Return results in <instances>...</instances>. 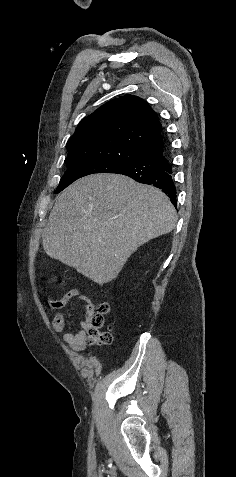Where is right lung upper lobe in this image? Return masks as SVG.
Listing matches in <instances>:
<instances>
[{
	"instance_id": "obj_1",
	"label": "right lung upper lobe",
	"mask_w": 236,
	"mask_h": 477,
	"mask_svg": "<svg viewBox=\"0 0 236 477\" xmlns=\"http://www.w3.org/2000/svg\"><path fill=\"white\" fill-rule=\"evenodd\" d=\"M158 116L141 98L125 95L113 99L83 119L67 142L66 161L107 158L125 165L163 146Z\"/></svg>"
}]
</instances>
